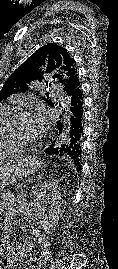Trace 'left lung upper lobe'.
I'll use <instances>...</instances> for the list:
<instances>
[{
    "mask_svg": "<svg viewBox=\"0 0 118 269\" xmlns=\"http://www.w3.org/2000/svg\"><path fill=\"white\" fill-rule=\"evenodd\" d=\"M45 76L64 83L66 92L80 85L75 61L68 51L50 43L39 48L8 78L0 91V101L11 94L29 90L38 81L42 82ZM43 100L54 106L48 96Z\"/></svg>",
    "mask_w": 118,
    "mask_h": 269,
    "instance_id": "5c2ea615",
    "label": "left lung upper lobe"
}]
</instances>
